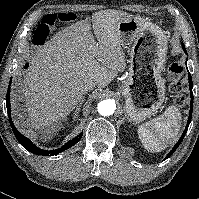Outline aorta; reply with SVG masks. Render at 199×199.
<instances>
[{"label":"aorta","instance_id":"aorta-1","mask_svg":"<svg viewBox=\"0 0 199 199\" xmlns=\"http://www.w3.org/2000/svg\"><path fill=\"white\" fill-rule=\"evenodd\" d=\"M115 111V104L111 100H103L98 104V112L102 116L112 115Z\"/></svg>","mask_w":199,"mask_h":199}]
</instances>
